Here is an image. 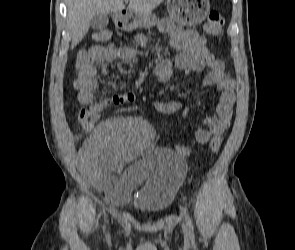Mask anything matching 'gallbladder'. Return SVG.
Here are the masks:
<instances>
[{
  "instance_id": "bac80fb5",
  "label": "gallbladder",
  "mask_w": 295,
  "mask_h": 250,
  "mask_svg": "<svg viewBox=\"0 0 295 250\" xmlns=\"http://www.w3.org/2000/svg\"><path fill=\"white\" fill-rule=\"evenodd\" d=\"M109 18L107 14H97L90 22V26L93 30H103L107 27Z\"/></svg>"
}]
</instances>
